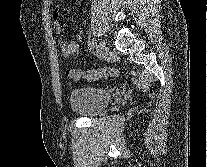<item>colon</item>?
<instances>
[{
  "label": "colon",
  "instance_id": "1",
  "mask_svg": "<svg viewBox=\"0 0 207 167\" xmlns=\"http://www.w3.org/2000/svg\"><path fill=\"white\" fill-rule=\"evenodd\" d=\"M120 73L116 68L104 67L92 70L68 69L66 76L71 80L95 81L108 77H119Z\"/></svg>",
  "mask_w": 207,
  "mask_h": 167
}]
</instances>
